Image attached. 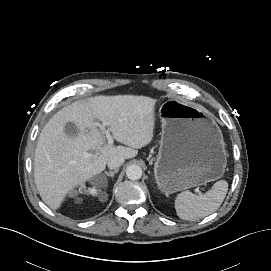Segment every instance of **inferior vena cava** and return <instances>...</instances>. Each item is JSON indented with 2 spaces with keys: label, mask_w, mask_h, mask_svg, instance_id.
I'll use <instances>...</instances> for the list:
<instances>
[{
  "label": "inferior vena cava",
  "mask_w": 271,
  "mask_h": 271,
  "mask_svg": "<svg viewBox=\"0 0 271 271\" xmlns=\"http://www.w3.org/2000/svg\"><path fill=\"white\" fill-rule=\"evenodd\" d=\"M124 162V158L123 157H113L111 158L108 162H107V166L109 169H117L118 167H120Z\"/></svg>",
  "instance_id": "1"
}]
</instances>
